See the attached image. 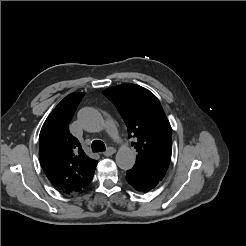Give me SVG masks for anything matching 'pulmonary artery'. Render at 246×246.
I'll use <instances>...</instances> for the list:
<instances>
[{
  "label": "pulmonary artery",
  "mask_w": 246,
  "mask_h": 246,
  "mask_svg": "<svg viewBox=\"0 0 246 246\" xmlns=\"http://www.w3.org/2000/svg\"><path fill=\"white\" fill-rule=\"evenodd\" d=\"M107 127L111 132H115L116 133V127L115 124L112 120H108L107 121Z\"/></svg>",
  "instance_id": "1"
}]
</instances>
